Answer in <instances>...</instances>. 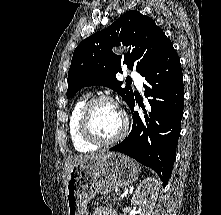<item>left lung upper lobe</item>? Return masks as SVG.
<instances>
[{
    "label": "left lung upper lobe",
    "mask_w": 221,
    "mask_h": 215,
    "mask_svg": "<svg viewBox=\"0 0 221 215\" xmlns=\"http://www.w3.org/2000/svg\"><path fill=\"white\" fill-rule=\"evenodd\" d=\"M133 47L131 53L115 55L111 49L120 44ZM171 41L155 22L138 11H129L108 28L84 39L74 50L68 72L67 98L82 87L99 85L116 91L129 105L134 92L116 78L121 66L136 67L140 75L148 72Z\"/></svg>",
    "instance_id": "5c2ea615"
}]
</instances>
